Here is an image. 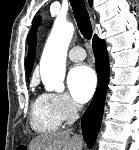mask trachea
Masks as SVG:
<instances>
[{
	"mask_svg": "<svg viewBox=\"0 0 139 150\" xmlns=\"http://www.w3.org/2000/svg\"><path fill=\"white\" fill-rule=\"evenodd\" d=\"M70 3L78 29L86 39H90L92 36V26L84 0H70Z\"/></svg>",
	"mask_w": 139,
	"mask_h": 150,
	"instance_id": "3493384b",
	"label": "trachea"
}]
</instances>
